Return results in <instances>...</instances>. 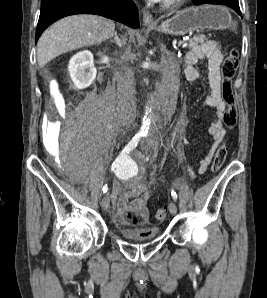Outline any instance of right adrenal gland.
<instances>
[{
    "instance_id": "1",
    "label": "right adrenal gland",
    "mask_w": 267,
    "mask_h": 298,
    "mask_svg": "<svg viewBox=\"0 0 267 298\" xmlns=\"http://www.w3.org/2000/svg\"><path fill=\"white\" fill-rule=\"evenodd\" d=\"M110 42H114L116 43L120 48L123 46L122 41L120 40V38L118 37L117 32L114 33V39H110Z\"/></svg>"
}]
</instances>
